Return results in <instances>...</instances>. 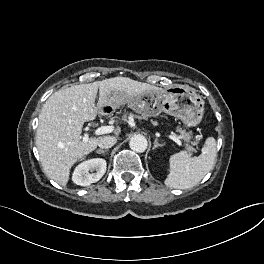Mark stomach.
I'll use <instances>...</instances> for the list:
<instances>
[{
  "mask_svg": "<svg viewBox=\"0 0 264 264\" xmlns=\"http://www.w3.org/2000/svg\"><path fill=\"white\" fill-rule=\"evenodd\" d=\"M112 105H103L102 114H109L120 106L127 105L143 117H157L161 112L179 118L187 126L200 123L204 113V102L192 89L173 86L162 91H149L140 96L125 99L121 93H111Z\"/></svg>",
  "mask_w": 264,
  "mask_h": 264,
  "instance_id": "0dacf381",
  "label": "stomach"
}]
</instances>
